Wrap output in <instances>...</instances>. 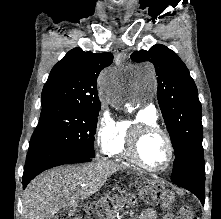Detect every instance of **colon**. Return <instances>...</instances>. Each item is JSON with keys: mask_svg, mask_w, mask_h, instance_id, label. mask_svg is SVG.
Instances as JSON below:
<instances>
[{"mask_svg": "<svg viewBox=\"0 0 221 219\" xmlns=\"http://www.w3.org/2000/svg\"><path fill=\"white\" fill-rule=\"evenodd\" d=\"M111 199L104 201L103 205H92L85 207H78L73 210L64 211L60 213L56 219H98L105 218L107 213V205L110 204ZM168 219H197L194 212L190 208H181L174 216Z\"/></svg>", "mask_w": 221, "mask_h": 219, "instance_id": "5ec220e1", "label": "colon"}]
</instances>
